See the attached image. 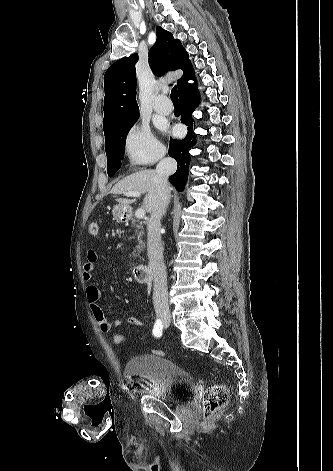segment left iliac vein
<instances>
[{
	"mask_svg": "<svg viewBox=\"0 0 333 471\" xmlns=\"http://www.w3.org/2000/svg\"><path fill=\"white\" fill-rule=\"evenodd\" d=\"M170 325V318H168L166 321H164V326L168 327Z\"/></svg>",
	"mask_w": 333,
	"mask_h": 471,
	"instance_id": "obj_1",
	"label": "left iliac vein"
}]
</instances>
